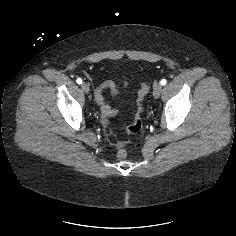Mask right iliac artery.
Returning <instances> with one entry per match:
<instances>
[{
	"label": "right iliac artery",
	"mask_w": 236,
	"mask_h": 236,
	"mask_svg": "<svg viewBox=\"0 0 236 236\" xmlns=\"http://www.w3.org/2000/svg\"><path fill=\"white\" fill-rule=\"evenodd\" d=\"M76 82H77L78 84H81V83H82V79H81V78H77Z\"/></svg>",
	"instance_id": "right-iliac-artery-1"
}]
</instances>
